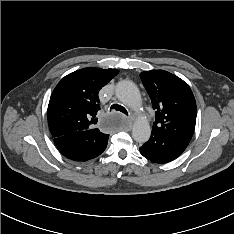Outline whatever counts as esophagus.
Here are the masks:
<instances>
[{
    "label": "esophagus",
    "mask_w": 234,
    "mask_h": 234,
    "mask_svg": "<svg viewBox=\"0 0 234 234\" xmlns=\"http://www.w3.org/2000/svg\"><path fill=\"white\" fill-rule=\"evenodd\" d=\"M129 121V124L131 125L132 123H131V120H128Z\"/></svg>",
    "instance_id": "1"
}]
</instances>
